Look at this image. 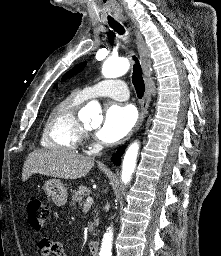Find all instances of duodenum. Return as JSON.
I'll return each mask as SVG.
<instances>
[{
  "label": "duodenum",
  "instance_id": "410a0bca",
  "mask_svg": "<svg viewBox=\"0 0 221 256\" xmlns=\"http://www.w3.org/2000/svg\"><path fill=\"white\" fill-rule=\"evenodd\" d=\"M89 250L92 256H99V242L96 240L90 241Z\"/></svg>",
  "mask_w": 221,
  "mask_h": 256
}]
</instances>
